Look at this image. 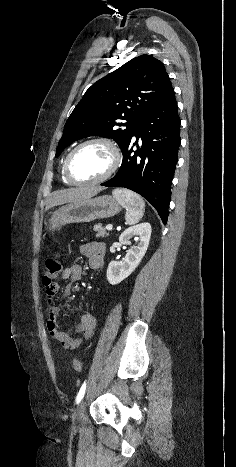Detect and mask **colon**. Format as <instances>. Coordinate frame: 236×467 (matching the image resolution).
<instances>
[{
    "label": "colon",
    "mask_w": 236,
    "mask_h": 467,
    "mask_svg": "<svg viewBox=\"0 0 236 467\" xmlns=\"http://www.w3.org/2000/svg\"><path fill=\"white\" fill-rule=\"evenodd\" d=\"M61 261L57 254L52 255L47 258L44 264V275L43 283L45 286L50 287L55 283L56 278L58 277L61 271ZM72 367L76 372L82 371V363L79 358H75L72 361Z\"/></svg>",
    "instance_id": "colon-1"
}]
</instances>
